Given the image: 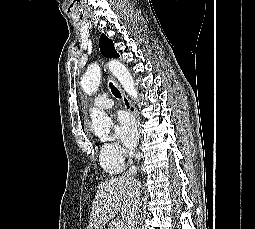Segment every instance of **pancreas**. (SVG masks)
<instances>
[{
    "instance_id": "cf45deb5",
    "label": "pancreas",
    "mask_w": 255,
    "mask_h": 229,
    "mask_svg": "<svg viewBox=\"0 0 255 229\" xmlns=\"http://www.w3.org/2000/svg\"><path fill=\"white\" fill-rule=\"evenodd\" d=\"M109 229H116L115 225H110V228ZM124 229V228H122Z\"/></svg>"
}]
</instances>
